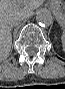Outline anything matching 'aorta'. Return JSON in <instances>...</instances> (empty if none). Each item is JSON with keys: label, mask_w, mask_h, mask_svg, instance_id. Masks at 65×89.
Wrapping results in <instances>:
<instances>
[{"label": "aorta", "mask_w": 65, "mask_h": 89, "mask_svg": "<svg viewBox=\"0 0 65 89\" xmlns=\"http://www.w3.org/2000/svg\"><path fill=\"white\" fill-rule=\"evenodd\" d=\"M36 21L42 27H49L53 24V16L50 10L42 8L36 14Z\"/></svg>", "instance_id": "1"}]
</instances>
